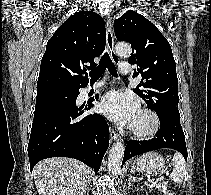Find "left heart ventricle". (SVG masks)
<instances>
[{
	"mask_svg": "<svg viewBox=\"0 0 211 195\" xmlns=\"http://www.w3.org/2000/svg\"><path fill=\"white\" fill-rule=\"evenodd\" d=\"M132 125L138 129H146L150 125V119L145 115L138 114Z\"/></svg>",
	"mask_w": 211,
	"mask_h": 195,
	"instance_id": "1",
	"label": "left heart ventricle"
}]
</instances>
